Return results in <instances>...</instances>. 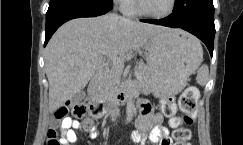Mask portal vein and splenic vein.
<instances>
[{
    "mask_svg": "<svg viewBox=\"0 0 243 145\" xmlns=\"http://www.w3.org/2000/svg\"><path fill=\"white\" fill-rule=\"evenodd\" d=\"M109 58L113 61V63L119 66L121 69L124 68V60L115 55H109Z\"/></svg>",
    "mask_w": 243,
    "mask_h": 145,
    "instance_id": "obj_1",
    "label": "portal vein and splenic vein"
}]
</instances>
